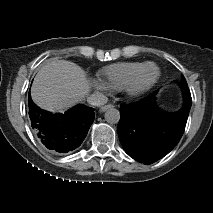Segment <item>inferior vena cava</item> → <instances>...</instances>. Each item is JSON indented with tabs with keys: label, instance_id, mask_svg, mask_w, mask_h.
I'll return each instance as SVG.
<instances>
[{
	"label": "inferior vena cava",
	"instance_id": "602c4592",
	"mask_svg": "<svg viewBox=\"0 0 213 213\" xmlns=\"http://www.w3.org/2000/svg\"><path fill=\"white\" fill-rule=\"evenodd\" d=\"M107 101V96L99 91H95L87 97V103L92 106H102L106 104Z\"/></svg>",
	"mask_w": 213,
	"mask_h": 213
}]
</instances>
